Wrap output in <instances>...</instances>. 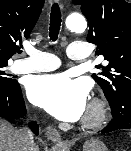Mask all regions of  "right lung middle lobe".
I'll list each match as a JSON object with an SVG mask.
<instances>
[{
    "instance_id": "obj_1",
    "label": "right lung middle lobe",
    "mask_w": 131,
    "mask_h": 151,
    "mask_svg": "<svg viewBox=\"0 0 131 151\" xmlns=\"http://www.w3.org/2000/svg\"><path fill=\"white\" fill-rule=\"evenodd\" d=\"M8 63H0V85H11L16 82V80L9 77L8 74L5 73L4 67H6Z\"/></svg>"
}]
</instances>
